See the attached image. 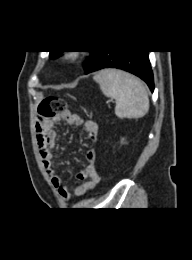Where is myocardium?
I'll use <instances>...</instances> for the list:
<instances>
[{
    "label": "myocardium",
    "instance_id": "obj_1",
    "mask_svg": "<svg viewBox=\"0 0 192 260\" xmlns=\"http://www.w3.org/2000/svg\"><path fill=\"white\" fill-rule=\"evenodd\" d=\"M68 57L70 58V59H76V58H78V53H75V52H73V53H69L68 54Z\"/></svg>",
    "mask_w": 192,
    "mask_h": 260
}]
</instances>
